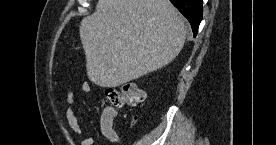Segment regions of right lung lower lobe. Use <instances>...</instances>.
Listing matches in <instances>:
<instances>
[{
  "instance_id": "1",
  "label": "right lung lower lobe",
  "mask_w": 276,
  "mask_h": 145,
  "mask_svg": "<svg viewBox=\"0 0 276 145\" xmlns=\"http://www.w3.org/2000/svg\"><path fill=\"white\" fill-rule=\"evenodd\" d=\"M175 7L188 19L192 26L194 36L197 35L202 20V0H170Z\"/></svg>"
}]
</instances>
